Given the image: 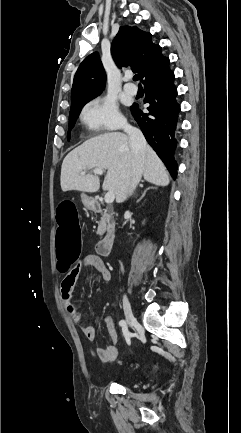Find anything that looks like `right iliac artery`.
<instances>
[{
    "label": "right iliac artery",
    "instance_id": "82829eb1",
    "mask_svg": "<svg viewBox=\"0 0 241 433\" xmlns=\"http://www.w3.org/2000/svg\"><path fill=\"white\" fill-rule=\"evenodd\" d=\"M119 325H120L121 327L126 326V322H125V320H121V321L119 322Z\"/></svg>",
    "mask_w": 241,
    "mask_h": 433
}]
</instances>
